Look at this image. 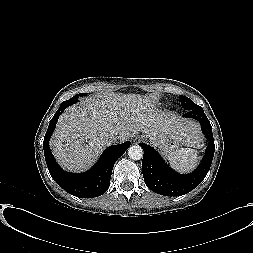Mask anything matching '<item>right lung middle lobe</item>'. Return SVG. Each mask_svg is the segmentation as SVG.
<instances>
[{"label": "right lung middle lobe", "mask_w": 253, "mask_h": 253, "mask_svg": "<svg viewBox=\"0 0 253 253\" xmlns=\"http://www.w3.org/2000/svg\"><path fill=\"white\" fill-rule=\"evenodd\" d=\"M83 95H85L84 93H80V94H78V95H76V96H74V97H72V98H75V97H78V96H83ZM71 98V99H72Z\"/></svg>", "instance_id": "right-lung-middle-lobe-1"}]
</instances>
